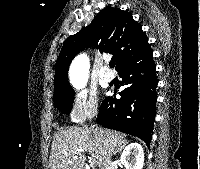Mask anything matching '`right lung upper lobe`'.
<instances>
[{
    "mask_svg": "<svg viewBox=\"0 0 200 169\" xmlns=\"http://www.w3.org/2000/svg\"><path fill=\"white\" fill-rule=\"evenodd\" d=\"M98 47L100 52L113 54L119 71L125 65L153 53L146 34L130 13L106 7L92 23L68 37L56 63L54 96L74 92L68 82V68L84 48Z\"/></svg>",
    "mask_w": 200,
    "mask_h": 169,
    "instance_id": "right-lung-upper-lobe-1",
    "label": "right lung upper lobe"
}]
</instances>
